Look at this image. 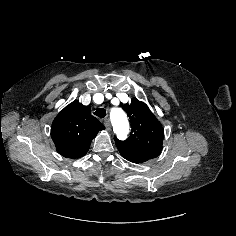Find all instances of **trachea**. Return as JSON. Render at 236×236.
<instances>
[{"label":"trachea","mask_w":236,"mask_h":236,"mask_svg":"<svg viewBox=\"0 0 236 236\" xmlns=\"http://www.w3.org/2000/svg\"><path fill=\"white\" fill-rule=\"evenodd\" d=\"M94 115L99 118H104L106 116V110L104 108H99L94 112Z\"/></svg>","instance_id":"3493384b"}]
</instances>
